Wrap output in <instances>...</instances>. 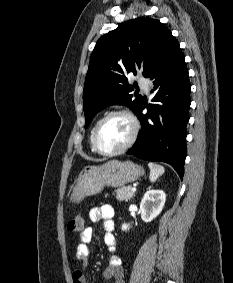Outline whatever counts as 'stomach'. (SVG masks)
Masks as SVG:
<instances>
[{
	"label": "stomach",
	"instance_id": "obj_1",
	"mask_svg": "<svg viewBox=\"0 0 233 283\" xmlns=\"http://www.w3.org/2000/svg\"><path fill=\"white\" fill-rule=\"evenodd\" d=\"M144 169L131 161H108L100 166H86L79 174L70 200L79 203L85 197L100 193L104 187H121L136 181Z\"/></svg>",
	"mask_w": 233,
	"mask_h": 283
}]
</instances>
